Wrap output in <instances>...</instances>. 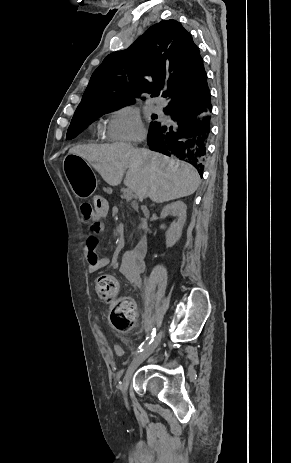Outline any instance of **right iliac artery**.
Returning <instances> with one entry per match:
<instances>
[{"instance_id": "1", "label": "right iliac artery", "mask_w": 291, "mask_h": 463, "mask_svg": "<svg viewBox=\"0 0 291 463\" xmlns=\"http://www.w3.org/2000/svg\"><path fill=\"white\" fill-rule=\"evenodd\" d=\"M156 336V329L153 328V331L151 332V334L146 338L145 342H143L139 347L138 349L135 351L134 355L138 354L139 352H141L143 350V347L146 346L147 344H150L154 337Z\"/></svg>"}]
</instances>
